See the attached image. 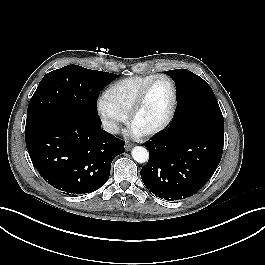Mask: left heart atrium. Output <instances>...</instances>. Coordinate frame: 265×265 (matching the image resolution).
<instances>
[{
	"label": "left heart atrium",
	"instance_id": "1",
	"mask_svg": "<svg viewBox=\"0 0 265 265\" xmlns=\"http://www.w3.org/2000/svg\"><path fill=\"white\" fill-rule=\"evenodd\" d=\"M132 132H133V134H135V135H138V134L141 133L140 131H138L137 129H135V128H133V127H132Z\"/></svg>",
	"mask_w": 265,
	"mask_h": 265
}]
</instances>
